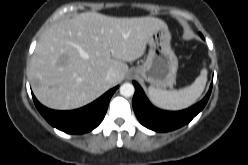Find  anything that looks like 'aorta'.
Wrapping results in <instances>:
<instances>
[{
	"label": "aorta",
	"mask_w": 248,
	"mask_h": 165,
	"mask_svg": "<svg viewBox=\"0 0 248 165\" xmlns=\"http://www.w3.org/2000/svg\"><path fill=\"white\" fill-rule=\"evenodd\" d=\"M135 92V88L131 83H124L120 87V94L124 97H131Z\"/></svg>",
	"instance_id": "762f6f07"
}]
</instances>
